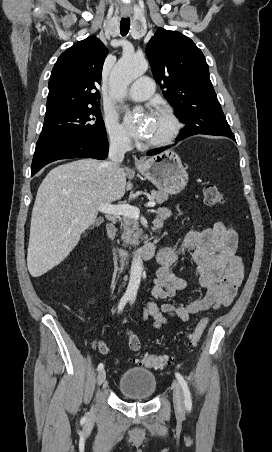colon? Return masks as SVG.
I'll list each match as a JSON object with an SVG mask.
<instances>
[{"label":"colon","instance_id":"obj_1","mask_svg":"<svg viewBox=\"0 0 272 452\" xmlns=\"http://www.w3.org/2000/svg\"><path fill=\"white\" fill-rule=\"evenodd\" d=\"M203 197L204 203L209 207H218L225 203L226 198L223 192H221L216 185L214 184H206L203 188ZM207 324V319L202 318L191 333L188 336L189 344L191 346L197 345L199 342L204 329ZM140 344L137 341L133 342V350L139 351ZM100 351L103 349L100 347ZM133 363L137 365L152 367V368H161L167 366L171 363V358L167 355H144L141 358H135L132 360Z\"/></svg>","mask_w":272,"mask_h":452}]
</instances>
